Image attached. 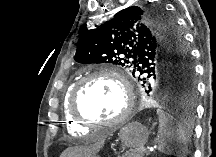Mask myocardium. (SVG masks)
I'll use <instances>...</instances> for the list:
<instances>
[{"label": "myocardium", "mask_w": 216, "mask_h": 157, "mask_svg": "<svg viewBox=\"0 0 216 157\" xmlns=\"http://www.w3.org/2000/svg\"><path fill=\"white\" fill-rule=\"evenodd\" d=\"M97 77H108L114 81H116L120 88L122 89L125 106L121 114L114 120L110 121H99L95 119H91L81 113L78 107V99L79 95L83 89V87L88 83L90 80L97 78ZM134 109V97L131 86L129 85L126 78L119 73L117 70L113 68H101L97 69L84 77L80 78L74 85L70 100H69V112L74 120L79 122L80 124L88 127H116L122 125L128 121Z\"/></svg>", "instance_id": "f54148a6"}]
</instances>
